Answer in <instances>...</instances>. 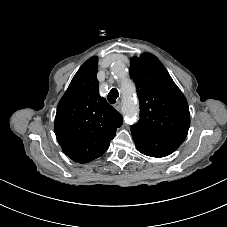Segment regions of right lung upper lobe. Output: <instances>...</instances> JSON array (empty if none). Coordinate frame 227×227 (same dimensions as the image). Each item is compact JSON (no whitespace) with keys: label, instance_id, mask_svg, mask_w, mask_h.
Returning a JSON list of instances; mask_svg holds the SVG:
<instances>
[{"label":"right lung upper lobe","instance_id":"1","mask_svg":"<svg viewBox=\"0 0 227 227\" xmlns=\"http://www.w3.org/2000/svg\"><path fill=\"white\" fill-rule=\"evenodd\" d=\"M98 57L88 59L59 101L54 130L63 152L78 163L105 153L122 116L99 95Z\"/></svg>","mask_w":227,"mask_h":227}]
</instances>
